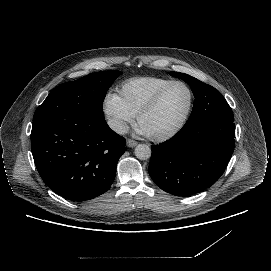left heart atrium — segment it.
I'll return each instance as SVG.
<instances>
[{"mask_svg":"<svg viewBox=\"0 0 271 271\" xmlns=\"http://www.w3.org/2000/svg\"><path fill=\"white\" fill-rule=\"evenodd\" d=\"M135 133L137 135H142V136H148L147 131L145 130V128L142 126V124H138L135 128Z\"/></svg>","mask_w":271,"mask_h":271,"instance_id":"left-heart-atrium-1","label":"left heart atrium"}]
</instances>
